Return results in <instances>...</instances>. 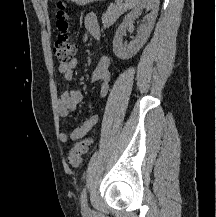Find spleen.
<instances>
[{
    "instance_id": "3e777b00",
    "label": "spleen",
    "mask_w": 216,
    "mask_h": 217,
    "mask_svg": "<svg viewBox=\"0 0 216 217\" xmlns=\"http://www.w3.org/2000/svg\"><path fill=\"white\" fill-rule=\"evenodd\" d=\"M140 0H125V5L127 8H133L135 7Z\"/></svg>"
}]
</instances>
